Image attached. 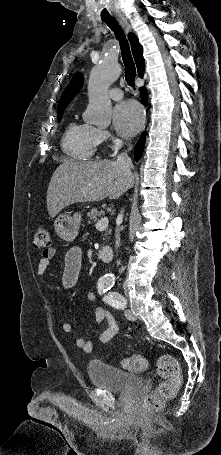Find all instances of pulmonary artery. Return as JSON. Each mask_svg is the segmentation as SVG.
Masks as SVG:
<instances>
[{"label":"pulmonary artery","mask_w":221,"mask_h":455,"mask_svg":"<svg viewBox=\"0 0 221 455\" xmlns=\"http://www.w3.org/2000/svg\"><path fill=\"white\" fill-rule=\"evenodd\" d=\"M109 96L113 100H120L123 97V93H122L121 89H119V88H112L109 91Z\"/></svg>","instance_id":"pulmonary-artery-1"}]
</instances>
